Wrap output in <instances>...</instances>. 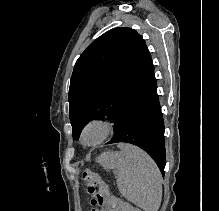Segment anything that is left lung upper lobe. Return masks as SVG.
Listing matches in <instances>:
<instances>
[{"instance_id":"left-lung-upper-lobe-1","label":"left lung upper lobe","mask_w":219,"mask_h":211,"mask_svg":"<svg viewBox=\"0 0 219 211\" xmlns=\"http://www.w3.org/2000/svg\"><path fill=\"white\" fill-rule=\"evenodd\" d=\"M154 76L144 39L131 28H114L92 42L76 61L69 88L72 136L78 140L94 119L115 129L133 97Z\"/></svg>"}]
</instances>
